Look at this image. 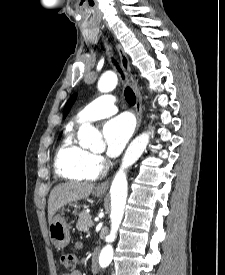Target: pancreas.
I'll return each instance as SVG.
<instances>
[{"instance_id":"1","label":"pancreas","mask_w":225,"mask_h":275,"mask_svg":"<svg viewBox=\"0 0 225 275\" xmlns=\"http://www.w3.org/2000/svg\"><path fill=\"white\" fill-rule=\"evenodd\" d=\"M91 215L86 213L85 211L79 214V219L76 224V228L81 232H87L88 228L91 227Z\"/></svg>"}]
</instances>
